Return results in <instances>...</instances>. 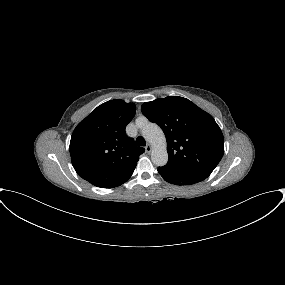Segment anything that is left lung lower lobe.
<instances>
[{
    "label": "left lung lower lobe",
    "mask_w": 285,
    "mask_h": 285,
    "mask_svg": "<svg viewBox=\"0 0 285 285\" xmlns=\"http://www.w3.org/2000/svg\"><path fill=\"white\" fill-rule=\"evenodd\" d=\"M158 172L163 179L175 185H191L205 180L207 177L198 174L176 173L158 167Z\"/></svg>",
    "instance_id": "obj_1"
}]
</instances>
